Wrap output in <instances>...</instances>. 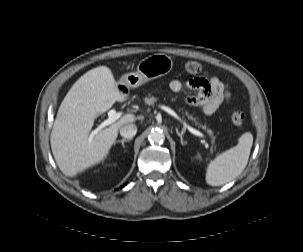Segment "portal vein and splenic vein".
I'll list each match as a JSON object with an SVG mask.
<instances>
[{
    "label": "portal vein and splenic vein",
    "mask_w": 303,
    "mask_h": 252,
    "mask_svg": "<svg viewBox=\"0 0 303 252\" xmlns=\"http://www.w3.org/2000/svg\"><path fill=\"white\" fill-rule=\"evenodd\" d=\"M160 108L163 109L164 111H166L167 113H169L170 115L174 116L175 118H177L178 120L182 121L181 118L169 107L164 106V105H160ZM121 113L116 112L115 109H112L108 112V119H106L105 121H103L99 127L93 131L90 134V138H93L101 129L105 128L106 126H109L110 124H112L113 122H115L116 120H118L121 117ZM185 124V123H184ZM188 130L196 135V136H200V137H204V134L188 125H186Z\"/></svg>",
    "instance_id": "18ae733b"
}]
</instances>
